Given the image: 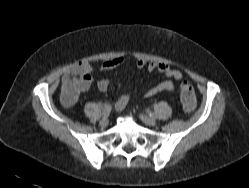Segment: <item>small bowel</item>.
<instances>
[{"instance_id":"c3829d8e","label":"small bowel","mask_w":249,"mask_h":188,"mask_svg":"<svg viewBox=\"0 0 249 188\" xmlns=\"http://www.w3.org/2000/svg\"><path fill=\"white\" fill-rule=\"evenodd\" d=\"M123 62L124 59L122 57H115L104 61L101 64L100 69L102 71L116 69L120 67ZM136 66L138 68L146 67L149 72L157 71L166 78V80L147 90L145 92V96L147 97L154 96L164 91L173 92L175 87L171 79L178 81L183 79L181 71L173 69L165 63L149 62L147 64L145 60L138 59L136 61ZM91 71V66L88 63H81L63 76L62 91L64 106L71 107L77 101L79 94L90 87L92 83ZM96 86L100 91L104 92L109 87V81L106 79H99L96 82ZM130 101L131 95L124 94L116 100L114 107L116 110H123L129 105Z\"/></svg>"}]
</instances>
